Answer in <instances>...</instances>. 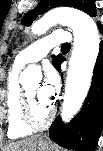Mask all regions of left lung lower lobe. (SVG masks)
<instances>
[{
	"instance_id": "obj_1",
	"label": "left lung lower lobe",
	"mask_w": 103,
	"mask_h": 151,
	"mask_svg": "<svg viewBox=\"0 0 103 151\" xmlns=\"http://www.w3.org/2000/svg\"><path fill=\"white\" fill-rule=\"evenodd\" d=\"M98 27L101 34H103V27L99 23ZM58 70L60 71V68ZM102 123L103 40L100 42V51L94 68L91 87L81 111L65 126L62 124L60 117H57L49 129V136L51 140L67 149L94 151L102 130Z\"/></svg>"
}]
</instances>
